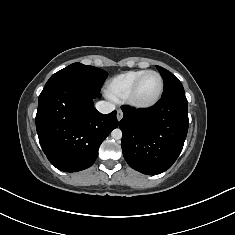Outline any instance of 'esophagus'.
Returning <instances> with one entry per match:
<instances>
[{
    "mask_svg": "<svg viewBox=\"0 0 235 235\" xmlns=\"http://www.w3.org/2000/svg\"><path fill=\"white\" fill-rule=\"evenodd\" d=\"M122 118H123V112H122V110L118 109L117 110V120L121 121Z\"/></svg>",
    "mask_w": 235,
    "mask_h": 235,
    "instance_id": "1",
    "label": "esophagus"
}]
</instances>
